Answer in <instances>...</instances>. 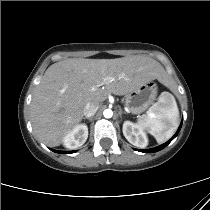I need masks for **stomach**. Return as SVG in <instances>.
I'll return each instance as SVG.
<instances>
[{
  "mask_svg": "<svg viewBox=\"0 0 210 210\" xmlns=\"http://www.w3.org/2000/svg\"><path fill=\"white\" fill-rule=\"evenodd\" d=\"M156 95V83L147 82L126 94L125 106L132 114H141L154 103Z\"/></svg>",
  "mask_w": 210,
  "mask_h": 210,
  "instance_id": "obj_1",
  "label": "stomach"
}]
</instances>
